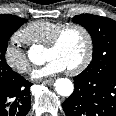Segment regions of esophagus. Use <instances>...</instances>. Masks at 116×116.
<instances>
[{"instance_id":"34e87169","label":"esophagus","mask_w":116,"mask_h":116,"mask_svg":"<svg viewBox=\"0 0 116 116\" xmlns=\"http://www.w3.org/2000/svg\"><path fill=\"white\" fill-rule=\"evenodd\" d=\"M53 82H54L53 79H46V80L43 81L44 84H48V85L52 84Z\"/></svg>"}]
</instances>
